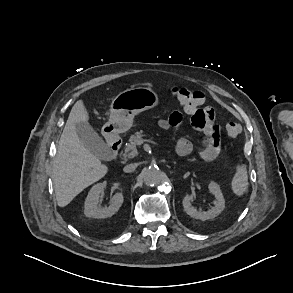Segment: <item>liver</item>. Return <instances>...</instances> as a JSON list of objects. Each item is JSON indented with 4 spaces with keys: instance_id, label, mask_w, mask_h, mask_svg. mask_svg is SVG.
I'll return each instance as SVG.
<instances>
[{
    "instance_id": "obj_1",
    "label": "liver",
    "mask_w": 293,
    "mask_h": 293,
    "mask_svg": "<svg viewBox=\"0 0 293 293\" xmlns=\"http://www.w3.org/2000/svg\"><path fill=\"white\" fill-rule=\"evenodd\" d=\"M89 114L82 100L71 109L53 161V183L57 204L68 205L85 188L103 178L108 167L80 141L76 123L87 122Z\"/></svg>"
}]
</instances>
